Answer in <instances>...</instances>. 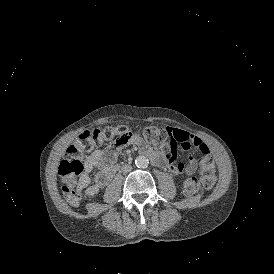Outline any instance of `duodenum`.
<instances>
[{
    "instance_id": "1",
    "label": "duodenum",
    "mask_w": 274,
    "mask_h": 274,
    "mask_svg": "<svg viewBox=\"0 0 274 274\" xmlns=\"http://www.w3.org/2000/svg\"><path fill=\"white\" fill-rule=\"evenodd\" d=\"M142 154L147 155V156L153 158V153L150 150H145V151L142 152Z\"/></svg>"
}]
</instances>
